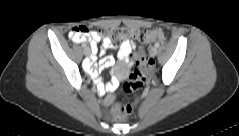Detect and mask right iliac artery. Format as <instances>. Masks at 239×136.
Returning <instances> with one entry per match:
<instances>
[{"label": "right iliac artery", "instance_id": "82829eb1", "mask_svg": "<svg viewBox=\"0 0 239 136\" xmlns=\"http://www.w3.org/2000/svg\"><path fill=\"white\" fill-rule=\"evenodd\" d=\"M82 48H87V44L86 43H81Z\"/></svg>", "mask_w": 239, "mask_h": 136}]
</instances>
